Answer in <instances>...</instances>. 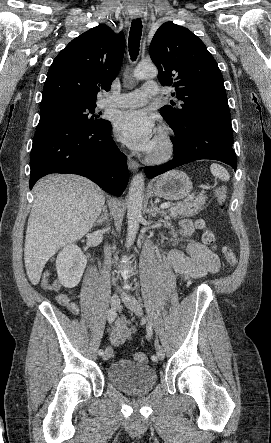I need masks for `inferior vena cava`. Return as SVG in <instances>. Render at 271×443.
Wrapping results in <instances>:
<instances>
[{"instance_id":"obj_1","label":"inferior vena cava","mask_w":271,"mask_h":443,"mask_svg":"<svg viewBox=\"0 0 271 443\" xmlns=\"http://www.w3.org/2000/svg\"><path fill=\"white\" fill-rule=\"evenodd\" d=\"M116 293H121V290H116Z\"/></svg>"}]
</instances>
